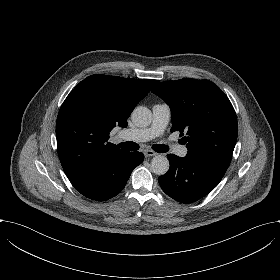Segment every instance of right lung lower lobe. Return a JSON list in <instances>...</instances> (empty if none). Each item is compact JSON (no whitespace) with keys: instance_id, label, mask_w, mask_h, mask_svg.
I'll list each match as a JSON object with an SVG mask.
<instances>
[{"instance_id":"98d812e1","label":"right lung lower lobe","mask_w":280,"mask_h":280,"mask_svg":"<svg viewBox=\"0 0 280 280\" xmlns=\"http://www.w3.org/2000/svg\"><path fill=\"white\" fill-rule=\"evenodd\" d=\"M143 160L140 152H126L95 172L86 189L77 191L91 200H108L121 192L134 168Z\"/></svg>"}]
</instances>
